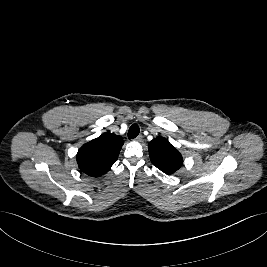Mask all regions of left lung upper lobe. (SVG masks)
Wrapping results in <instances>:
<instances>
[{"instance_id":"1","label":"left lung upper lobe","mask_w":267,"mask_h":267,"mask_svg":"<svg viewBox=\"0 0 267 267\" xmlns=\"http://www.w3.org/2000/svg\"><path fill=\"white\" fill-rule=\"evenodd\" d=\"M148 148L153 165L166 174L174 173L183 164L180 152L164 137L153 139Z\"/></svg>"}]
</instances>
